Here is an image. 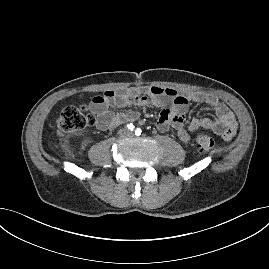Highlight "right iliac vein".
Wrapping results in <instances>:
<instances>
[{"mask_svg":"<svg viewBox=\"0 0 269 269\" xmlns=\"http://www.w3.org/2000/svg\"><path fill=\"white\" fill-rule=\"evenodd\" d=\"M120 135H125V132L124 131H120Z\"/></svg>","mask_w":269,"mask_h":269,"instance_id":"1","label":"right iliac vein"}]
</instances>
